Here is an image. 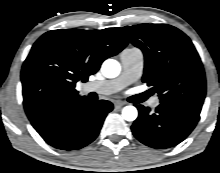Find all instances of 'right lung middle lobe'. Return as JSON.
I'll use <instances>...</instances> for the list:
<instances>
[{
  "label": "right lung middle lobe",
  "mask_w": 220,
  "mask_h": 173,
  "mask_svg": "<svg viewBox=\"0 0 220 173\" xmlns=\"http://www.w3.org/2000/svg\"><path fill=\"white\" fill-rule=\"evenodd\" d=\"M24 107H25V111H26L27 115H30V114L40 110V109L36 108V105L34 102H29L28 104L24 105Z\"/></svg>",
  "instance_id": "obj_1"
}]
</instances>
